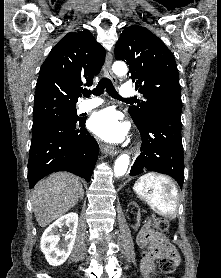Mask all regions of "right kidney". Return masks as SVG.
I'll return each mask as SVG.
<instances>
[{"mask_svg":"<svg viewBox=\"0 0 221 278\" xmlns=\"http://www.w3.org/2000/svg\"><path fill=\"white\" fill-rule=\"evenodd\" d=\"M64 225L69 228L70 232L64 235V240L60 241L57 232ZM77 227L78 214L69 213L59 218L44 231L40 248L50 265L59 266L68 259L76 239Z\"/></svg>","mask_w":221,"mask_h":278,"instance_id":"right-kidney-1","label":"right kidney"}]
</instances>
